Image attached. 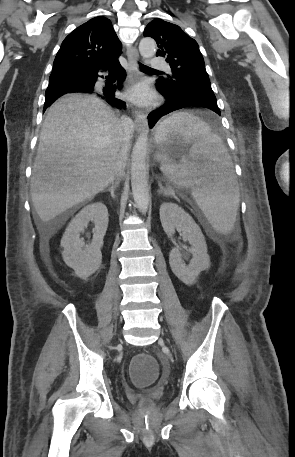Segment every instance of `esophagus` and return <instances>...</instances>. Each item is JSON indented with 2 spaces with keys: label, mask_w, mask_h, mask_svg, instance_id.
Masks as SVG:
<instances>
[{
  "label": "esophagus",
  "mask_w": 295,
  "mask_h": 457,
  "mask_svg": "<svg viewBox=\"0 0 295 457\" xmlns=\"http://www.w3.org/2000/svg\"><path fill=\"white\" fill-rule=\"evenodd\" d=\"M127 58H128L129 72H130V74H135L138 71V58H139V54H138L136 47L131 46L128 48ZM135 123H136V129L138 132L148 130L147 116L145 113L136 112L135 113Z\"/></svg>",
  "instance_id": "1"
}]
</instances>
